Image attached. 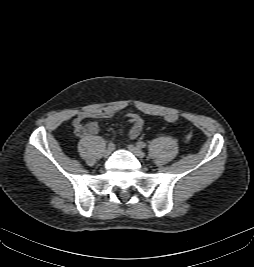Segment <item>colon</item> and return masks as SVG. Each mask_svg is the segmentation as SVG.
<instances>
[{"label":"colon","instance_id":"obj_1","mask_svg":"<svg viewBox=\"0 0 254 267\" xmlns=\"http://www.w3.org/2000/svg\"><path fill=\"white\" fill-rule=\"evenodd\" d=\"M165 120H166L167 122H169V123H174V122H176V121L178 120V116L175 115V114L167 115V116L165 117ZM190 137H191V133L189 132V133L187 134L186 138H187V139H190Z\"/></svg>","mask_w":254,"mask_h":267}]
</instances>
